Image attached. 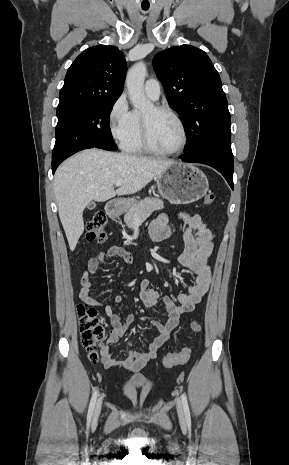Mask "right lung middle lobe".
Returning <instances> with one entry per match:
<instances>
[{
  "instance_id": "1",
  "label": "right lung middle lobe",
  "mask_w": 289,
  "mask_h": 465,
  "mask_svg": "<svg viewBox=\"0 0 289 465\" xmlns=\"http://www.w3.org/2000/svg\"><path fill=\"white\" fill-rule=\"evenodd\" d=\"M116 100L57 108L52 162L63 161L80 150L93 147L115 150L108 117Z\"/></svg>"
}]
</instances>
